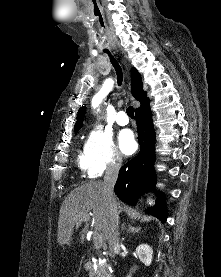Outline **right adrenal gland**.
I'll list each match as a JSON object with an SVG mask.
<instances>
[{
  "label": "right adrenal gland",
  "mask_w": 221,
  "mask_h": 277,
  "mask_svg": "<svg viewBox=\"0 0 221 277\" xmlns=\"http://www.w3.org/2000/svg\"><path fill=\"white\" fill-rule=\"evenodd\" d=\"M127 233H138L141 230V227H134L132 225H128V229L125 227V224L122 225V231Z\"/></svg>",
  "instance_id": "1"
}]
</instances>
